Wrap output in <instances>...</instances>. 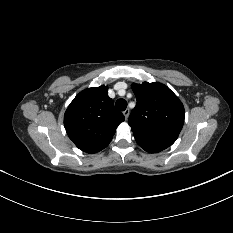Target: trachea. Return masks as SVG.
Instances as JSON below:
<instances>
[{
    "mask_svg": "<svg viewBox=\"0 0 233 233\" xmlns=\"http://www.w3.org/2000/svg\"><path fill=\"white\" fill-rule=\"evenodd\" d=\"M127 107V101L125 99H118L116 101V108L120 111H124Z\"/></svg>",
    "mask_w": 233,
    "mask_h": 233,
    "instance_id": "trachea-1",
    "label": "trachea"
}]
</instances>
